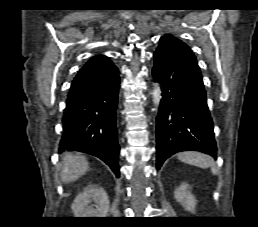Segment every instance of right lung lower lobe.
Segmentation results:
<instances>
[{
	"instance_id": "98d812e1",
	"label": "right lung lower lobe",
	"mask_w": 258,
	"mask_h": 227,
	"mask_svg": "<svg viewBox=\"0 0 258 227\" xmlns=\"http://www.w3.org/2000/svg\"><path fill=\"white\" fill-rule=\"evenodd\" d=\"M118 68L105 56L91 58L74 78L63 116L59 151L92 154L119 176L116 109Z\"/></svg>"
}]
</instances>
